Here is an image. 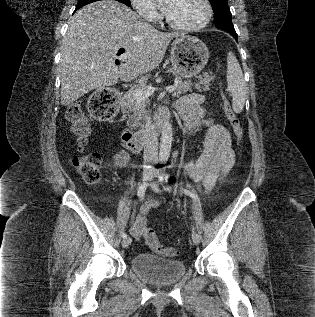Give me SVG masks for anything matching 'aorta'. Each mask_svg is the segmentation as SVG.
I'll list each match as a JSON object with an SVG mask.
<instances>
[{"instance_id":"762f6f07","label":"aorta","mask_w":315,"mask_h":317,"mask_svg":"<svg viewBox=\"0 0 315 317\" xmlns=\"http://www.w3.org/2000/svg\"><path fill=\"white\" fill-rule=\"evenodd\" d=\"M173 140L172 125L170 122H165L162 128L159 158L161 160H168L171 151V144Z\"/></svg>"}]
</instances>
